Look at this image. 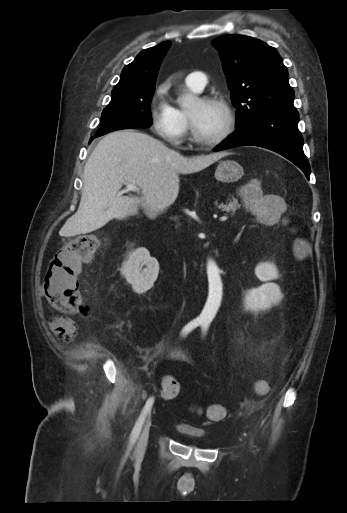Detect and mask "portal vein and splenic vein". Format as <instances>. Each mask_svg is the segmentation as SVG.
I'll use <instances>...</instances> for the list:
<instances>
[{
    "label": "portal vein and splenic vein",
    "instance_id": "1",
    "mask_svg": "<svg viewBox=\"0 0 347 513\" xmlns=\"http://www.w3.org/2000/svg\"><path fill=\"white\" fill-rule=\"evenodd\" d=\"M125 190H127V191H129V190H132V191H138V190H139V188H138L137 186L133 185V184L126 183V189H125ZM226 220H228V217H227V216H222V217L220 218V221H222V222H224V221H226Z\"/></svg>",
    "mask_w": 347,
    "mask_h": 513
}]
</instances>
